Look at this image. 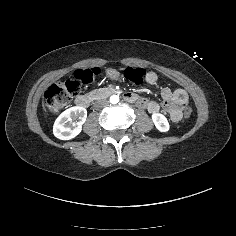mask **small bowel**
Segmentation results:
<instances>
[{
  "label": "small bowel",
  "mask_w": 236,
  "mask_h": 236,
  "mask_svg": "<svg viewBox=\"0 0 236 236\" xmlns=\"http://www.w3.org/2000/svg\"><path fill=\"white\" fill-rule=\"evenodd\" d=\"M155 77H156L155 75H151V77L148 79V82L149 83H154V78ZM164 95L168 96L169 92L167 90H165L164 91ZM174 96H176L177 99H178V116L175 119V120H178L180 118V116H181V109L186 104L188 96H187V93L184 90H176L174 92Z\"/></svg>",
  "instance_id": "1"
}]
</instances>
